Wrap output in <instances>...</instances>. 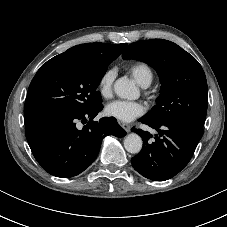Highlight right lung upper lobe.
<instances>
[{"label":"right lung upper lobe","instance_id":"obj_1","mask_svg":"<svg viewBox=\"0 0 227 227\" xmlns=\"http://www.w3.org/2000/svg\"><path fill=\"white\" fill-rule=\"evenodd\" d=\"M126 43L124 44H106V43H87L74 46L66 52L57 55L60 57H76L88 61L100 62L107 59L110 55L116 53L118 56L123 52ZM35 117H30L24 114L25 125L35 120Z\"/></svg>","mask_w":227,"mask_h":227}]
</instances>
